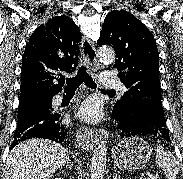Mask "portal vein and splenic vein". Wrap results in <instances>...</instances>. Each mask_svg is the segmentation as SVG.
<instances>
[{
    "label": "portal vein and splenic vein",
    "instance_id": "1",
    "mask_svg": "<svg viewBox=\"0 0 183 179\" xmlns=\"http://www.w3.org/2000/svg\"><path fill=\"white\" fill-rule=\"evenodd\" d=\"M151 176H153V174L147 173L145 179H148V177H151Z\"/></svg>",
    "mask_w": 183,
    "mask_h": 179
}]
</instances>
